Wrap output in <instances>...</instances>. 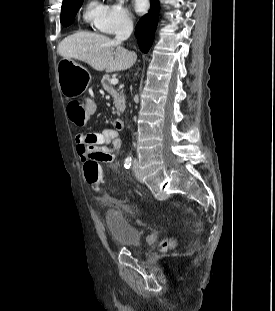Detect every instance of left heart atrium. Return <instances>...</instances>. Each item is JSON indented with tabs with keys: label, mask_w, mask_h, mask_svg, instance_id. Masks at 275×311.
<instances>
[{
	"label": "left heart atrium",
	"mask_w": 275,
	"mask_h": 311,
	"mask_svg": "<svg viewBox=\"0 0 275 311\" xmlns=\"http://www.w3.org/2000/svg\"><path fill=\"white\" fill-rule=\"evenodd\" d=\"M148 7L147 0H134V8L137 13H143Z\"/></svg>",
	"instance_id": "obj_1"
}]
</instances>
